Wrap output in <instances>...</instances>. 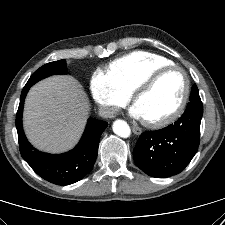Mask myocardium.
I'll return each instance as SVG.
<instances>
[{"mask_svg":"<svg viewBox=\"0 0 225 225\" xmlns=\"http://www.w3.org/2000/svg\"><path fill=\"white\" fill-rule=\"evenodd\" d=\"M172 70H178L182 73L183 79H184V90H183V95L181 97L180 102L176 106V108L169 113L168 115L157 119V120H145L143 119V123L150 127V128H162L164 126H167L177 120L182 113L184 112L186 105L188 103L189 95H190V80L188 77L187 72L185 71L184 68H182L179 65H168L165 67H162L154 72H152L149 76H147L136 88L132 95V100L133 103L137 101L138 98H140L142 95L147 93L157 82V80L162 77L164 74H166L169 71Z\"/></svg>","mask_w":225,"mask_h":225,"instance_id":"myocardium-1","label":"myocardium"}]
</instances>
